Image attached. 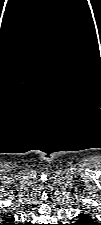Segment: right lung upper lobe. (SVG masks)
<instances>
[{
    "mask_svg": "<svg viewBox=\"0 0 101 225\" xmlns=\"http://www.w3.org/2000/svg\"><path fill=\"white\" fill-rule=\"evenodd\" d=\"M6 221H7V223H9V222H13V221H12V219H6ZM3 225H6V223H5V224H3Z\"/></svg>",
    "mask_w": 101,
    "mask_h": 225,
    "instance_id": "1",
    "label": "right lung upper lobe"
}]
</instances>
